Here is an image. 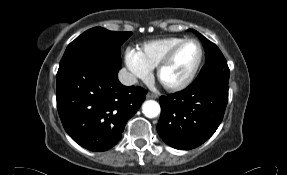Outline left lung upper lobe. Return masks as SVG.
Segmentation results:
<instances>
[{
    "mask_svg": "<svg viewBox=\"0 0 287 175\" xmlns=\"http://www.w3.org/2000/svg\"><path fill=\"white\" fill-rule=\"evenodd\" d=\"M192 31L203 43L206 63L191 85L197 86L209 82H222L228 84L230 70L220 49L197 31Z\"/></svg>",
    "mask_w": 287,
    "mask_h": 175,
    "instance_id": "obj_1",
    "label": "left lung upper lobe"
}]
</instances>
